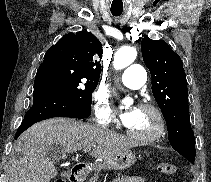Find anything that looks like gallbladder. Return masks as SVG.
<instances>
[{"label":"gallbladder","mask_w":211,"mask_h":182,"mask_svg":"<svg viewBox=\"0 0 211 182\" xmlns=\"http://www.w3.org/2000/svg\"><path fill=\"white\" fill-rule=\"evenodd\" d=\"M48 155L51 158L60 159L63 156L62 148L59 145H52L48 148Z\"/></svg>","instance_id":"1"}]
</instances>
